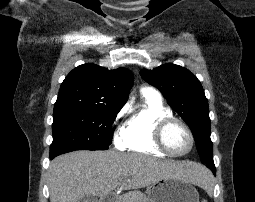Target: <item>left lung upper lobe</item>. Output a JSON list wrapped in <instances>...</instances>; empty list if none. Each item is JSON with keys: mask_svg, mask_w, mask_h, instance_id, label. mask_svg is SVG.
<instances>
[{"mask_svg": "<svg viewBox=\"0 0 255 202\" xmlns=\"http://www.w3.org/2000/svg\"><path fill=\"white\" fill-rule=\"evenodd\" d=\"M142 78L158 88L167 103L190 127L201 161H213L208 100L200 81L189 70L168 63L140 71Z\"/></svg>", "mask_w": 255, "mask_h": 202, "instance_id": "1", "label": "left lung upper lobe"}]
</instances>
